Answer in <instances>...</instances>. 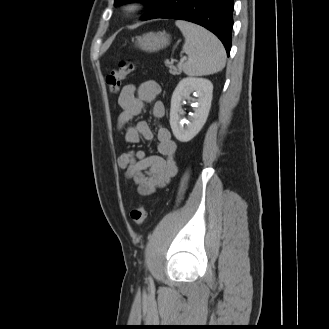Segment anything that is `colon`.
I'll list each match as a JSON object with an SVG mask.
<instances>
[{
	"instance_id": "1",
	"label": "colon",
	"mask_w": 329,
	"mask_h": 329,
	"mask_svg": "<svg viewBox=\"0 0 329 329\" xmlns=\"http://www.w3.org/2000/svg\"><path fill=\"white\" fill-rule=\"evenodd\" d=\"M136 68V65L128 60H123L119 63L116 70H113L106 77L107 85L112 93L119 92L121 83L126 76L131 74ZM147 217V212L144 205H140L131 211L132 221L139 227L143 226Z\"/></svg>"
}]
</instances>
